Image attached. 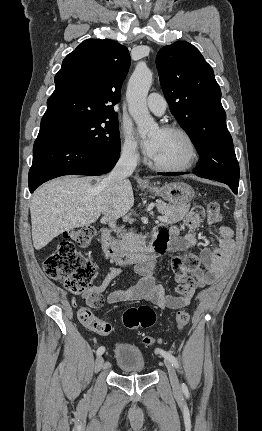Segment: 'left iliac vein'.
Listing matches in <instances>:
<instances>
[{
  "label": "left iliac vein",
  "mask_w": 262,
  "mask_h": 431,
  "mask_svg": "<svg viewBox=\"0 0 262 431\" xmlns=\"http://www.w3.org/2000/svg\"><path fill=\"white\" fill-rule=\"evenodd\" d=\"M165 365L167 367L169 378H170V381H171L173 388L176 390L179 389L180 383H179V380H178V377H177V374H176V371H175L173 365L168 360H165Z\"/></svg>",
  "instance_id": "4c4485c4"
}]
</instances>
